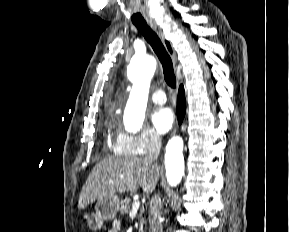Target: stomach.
<instances>
[{"label":"stomach","mask_w":289,"mask_h":232,"mask_svg":"<svg viewBox=\"0 0 289 232\" xmlns=\"http://www.w3.org/2000/svg\"><path fill=\"white\" fill-rule=\"evenodd\" d=\"M121 201L117 195L99 199L94 211L86 215L87 225L92 230H100L106 221L113 220L119 210Z\"/></svg>","instance_id":"obj_1"}]
</instances>
